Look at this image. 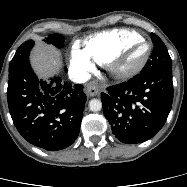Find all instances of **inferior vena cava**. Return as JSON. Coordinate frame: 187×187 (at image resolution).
I'll return each instance as SVG.
<instances>
[{
    "label": "inferior vena cava",
    "mask_w": 187,
    "mask_h": 187,
    "mask_svg": "<svg viewBox=\"0 0 187 187\" xmlns=\"http://www.w3.org/2000/svg\"><path fill=\"white\" fill-rule=\"evenodd\" d=\"M68 74L70 80L75 83H84L90 79V75L87 72L79 69L71 68Z\"/></svg>",
    "instance_id": "602c4592"
}]
</instances>
